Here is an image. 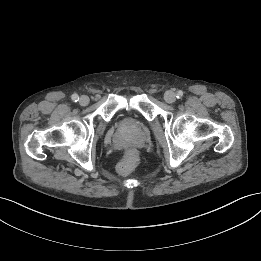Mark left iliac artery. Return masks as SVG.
<instances>
[{
	"mask_svg": "<svg viewBox=\"0 0 261 261\" xmlns=\"http://www.w3.org/2000/svg\"><path fill=\"white\" fill-rule=\"evenodd\" d=\"M183 96V92L181 90H179L177 93H176V97L179 99V98H182Z\"/></svg>",
	"mask_w": 261,
	"mask_h": 261,
	"instance_id": "1",
	"label": "left iliac artery"
}]
</instances>
